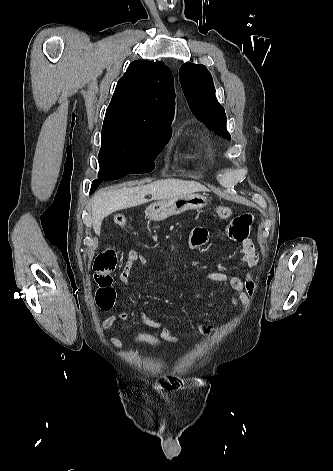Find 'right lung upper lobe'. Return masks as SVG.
Returning <instances> with one entry per match:
<instances>
[{
    "label": "right lung upper lobe",
    "instance_id": "obj_1",
    "mask_svg": "<svg viewBox=\"0 0 333 471\" xmlns=\"http://www.w3.org/2000/svg\"><path fill=\"white\" fill-rule=\"evenodd\" d=\"M174 85L162 61L136 60L119 79L105 120L168 127L174 114Z\"/></svg>",
    "mask_w": 333,
    "mask_h": 471
}]
</instances>
